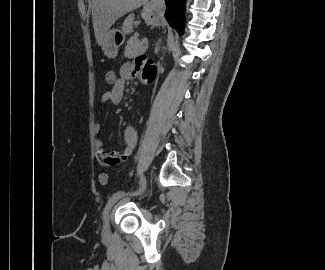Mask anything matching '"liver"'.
Returning a JSON list of instances; mask_svg holds the SVG:
<instances>
[{
    "mask_svg": "<svg viewBox=\"0 0 325 270\" xmlns=\"http://www.w3.org/2000/svg\"><path fill=\"white\" fill-rule=\"evenodd\" d=\"M147 0H93L92 20L95 39L103 46L111 26L127 12L145 4ZM134 14L127 17L123 24L125 34L133 31Z\"/></svg>",
    "mask_w": 325,
    "mask_h": 270,
    "instance_id": "6515ba94",
    "label": "liver"
}]
</instances>
